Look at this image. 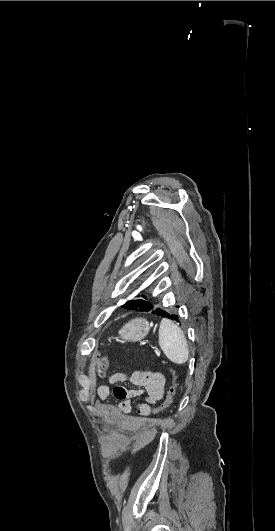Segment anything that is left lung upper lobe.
Here are the masks:
<instances>
[{
	"label": "left lung upper lobe",
	"mask_w": 275,
	"mask_h": 531,
	"mask_svg": "<svg viewBox=\"0 0 275 531\" xmlns=\"http://www.w3.org/2000/svg\"><path fill=\"white\" fill-rule=\"evenodd\" d=\"M145 298V296L143 295ZM122 307L127 309L139 310V311H149L153 306L142 299H136L126 302Z\"/></svg>",
	"instance_id": "1"
}]
</instances>
